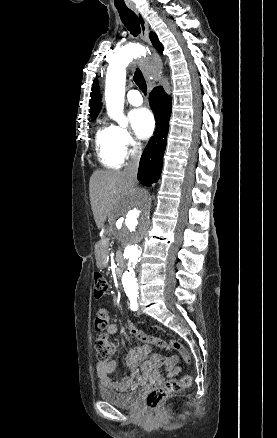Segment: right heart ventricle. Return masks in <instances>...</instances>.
Here are the masks:
<instances>
[{"label": "right heart ventricle", "instance_id": "right-heart-ventricle-1", "mask_svg": "<svg viewBox=\"0 0 277 438\" xmlns=\"http://www.w3.org/2000/svg\"><path fill=\"white\" fill-rule=\"evenodd\" d=\"M96 150L98 160L109 169L121 168L124 158L116 144V126L105 125L96 134Z\"/></svg>", "mask_w": 277, "mask_h": 438}]
</instances>
